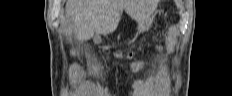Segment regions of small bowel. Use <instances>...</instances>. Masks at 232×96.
<instances>
[{"instance_id":"1","label":"small bowel","mask_w":232,"mask_h":96,"mask_svg":"<svg viewBox=\"0 0 232 96\" xmlns=\"http://www.w3.org/2000/svg\"><path fill=\"white\" fill-rule=\"evenodd\" d=\"M139 65H135L137 68ZM131 96H149L162 93L160 81L155 78L135 80L131 85Z\"/></svg>"}]
</instances>
